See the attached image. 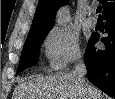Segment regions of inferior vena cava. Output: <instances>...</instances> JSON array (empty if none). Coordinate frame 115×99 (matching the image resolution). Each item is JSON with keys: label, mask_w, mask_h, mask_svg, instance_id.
Here are the masks:
<instances>
[{"label": "inferior vena cava", "mask_w": 115, "mask_h": 99, "mask_svg": "<svg viewBox=\"0 0 115 99\" xmlns=\"http://www.w3.org/2000/svg\"><path fill=\"white\" fill-rule=\"evenodd\" d=\"M87 72L86 65L83 60V56L79 55L76 59V64L74 66V75L76 77V81L78 87L82 94V99H89L88 89L86 86L85 74Z\"/></svg>", "instance_id": "inferior-vena-cava-1"}]
</instances>
